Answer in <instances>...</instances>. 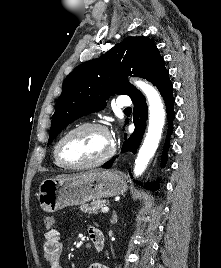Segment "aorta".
Listing matches in <instances>:
<instances>
[{
	"label": "aorta",
	"instance_id": "obj_1",
	"mask_svg": "<svg viewBox=\"0 0 221 268\" xmlns=\"http://www.w3.org/2000/svg\"><path fill=\"white\" fill-rule=\"evenodd\" d=\"M133 83L145 94L149 103L148 132L134 166V175L138 177L145 171L158 147L165 122V110L160 94L152 85L141 80H134Z\"/></svg>",
	"mask_w": 221,
	"mask_h": 268
}]
</instances>
